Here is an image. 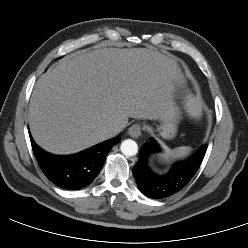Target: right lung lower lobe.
<instances>
[{"label": "right lung lower lobe", "instance_id": "1", "mask_svg": "<svg viewBox=\"0 0 248 248\" xmlns=\"http://www.w3.org/2000/svg\"><path fill=\"white\" fill-rule=\"evenodd\" d=\"M120 139H109L78 154L56 156L42 150L30 136L33 153L43 173L58 187L69 190L90 184L100 172L107 153Z\"/></svg>", "mask_w": 248, "mask_h": 248}]
</instances>
